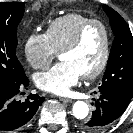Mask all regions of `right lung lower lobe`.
Segmentation results:
<instances>
[{
  "label": "right lung lower lobe",
  "mask_w": 133,
  "mask_h": 133,
  "mask_svg": "<svg viewBox=\"0 0 133 133\" xmlns=\"http://www.w3.org/2000/svg\"><path fill=\"white\" fill-rule=\"evenodd\" d=\"M28 85L29 80L23 72L15 83L0 86V131L24 128L44 101V97L38 94H30L24 101L19 100L20 90Z\"/></svg>",
  "instance_id": "1"
}]
</instances>
